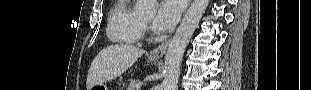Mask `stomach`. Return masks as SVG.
<instances>
[{
	"mask_svg": "<svg viewBox=\"0 0 311 90\" xmlns=\"http://www.w3.org/2000/svg\"><path fill=\"white\" fill-rule=\"evenodd\" d=\"M157 59L155 58H149L148 59V62H153V61H156ZM90 90H108V87L106 84H100V85H95L93 86Z\"/></svg>",
	"mask_w": 311,
	"mask_h": 90,
	"instance_id": "obj_1",
	"label": "stomach"
}]
</instances>
